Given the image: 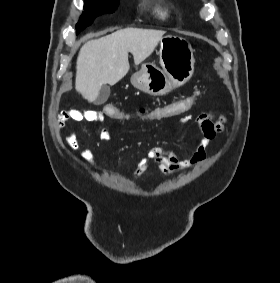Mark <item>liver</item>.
I'll list each match as a JSON object with an SVG mask.
<instances>
[{
	"label": "liver",
	"mask_w": 280,
	"mask_h": 283,
	"mask_svg": "<svg viewBox=\"0 0 280 283\" xmlns=\"http://www.w3.org/2000/svg\"><path fill=\"white\" fill-rule=\"evenodd\" d=\"M165 31L126 28L85 43L78 54L75 89L88 102L97 98L105 84L115 85L129 71L128 53L135 65L147 59Z\"/></svg>",
	"instance_id": "6515ba94"
}]
</instances>
